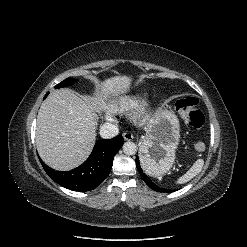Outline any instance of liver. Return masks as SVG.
<instances>
[{
	"label": "liver",
	"mask_w": 247,
	"mask_h": 247,
	"mask_svg": "<svg viewBox=\"0 0 247 247\" xmlns=\"http://www.w3.org/2000/svg\"><path fill=\"white\" fill-rule=\"evenodd\" d=\"M131 81L129 76L117 75L99 83L96 107L68 89L52 92L42 103L37 119L36 145L42 160L63 171L83 163L96 140V112L112 97L125 94Z\"/></svg>",
	"instance_id": "obj_1"
}]
</instances>
